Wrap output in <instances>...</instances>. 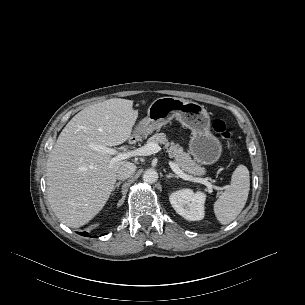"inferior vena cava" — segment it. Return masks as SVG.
Wrapping results in <instances>:
<instances>
[{
	"mask_svg": "<svg viewBox=\"0 0 305 305\" xmlns=\"http://www.w3.org/2000/svg\"><path fill=\"white\" fill-rule=\"evenodd\" d=\"M136 171V165L131 162H126L119 167L116 177L119 180H125L131 177Z\"/></svg>",
	"mask_w": 305,
	"mask_h": 305,
	"instance_id": "1",
	"label": "inferior vena cava"
}]
</instances>
